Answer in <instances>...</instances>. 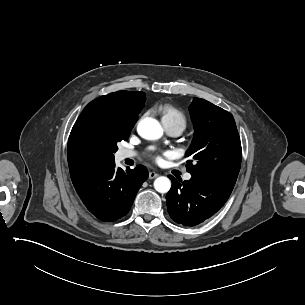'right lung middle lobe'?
<instances>
[{
  "label": "right lung middle lobe",
  "instance_id": "1",
  "mask_svg": "<svg viewBox=\"0 0 305 305\" xmlns=\"http://www.w3.org/2000/svg\"><path fill=\"white\" fill-rule=\"evenodd\" d=\"M132 128H117L112 130H100L92 135V142L100 152V164L102 166L115 163L114 155L118 150L117 143L127 140Z\"/></svg>",
  "mask_w": 305,
  "mask_h": 305
}]
</instances>
